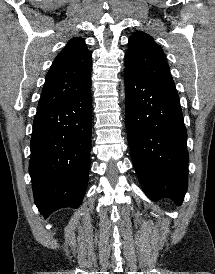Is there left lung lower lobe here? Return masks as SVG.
Masks as SVG:
<instances>
[{
  "label": "left lung lower lobe",
  "instance_id": "left-lung-lower-lobe-1",
  "mask_svg": "<svg viewBox=\"0 0 215 274\" xmlns=\"http://www.w3.org/2000/svg\"><path fill=\"white\" fill-rule=\"evenodd\" d=\"M131 158L145 194L182 204L188 185L187 132L176 88L124 69Z\"/></svg>",
  "mask_w": 215,
  "mask_h": 274
}]
</instances>
